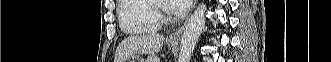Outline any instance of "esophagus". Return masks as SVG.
<instances>
[{
  "instance_id": "obj_1",
  "label": "esophagus",
  "mask_w": 331,
  "mask_h": 62,
  "mask_svg": "<svg viewBox=\"0 0 331 62\" xmlns=\"http://www.w3.org/2000/svg\"><path fill=\"white\" fill-rule=\"evenodd\" d=\"M196 3H197V0H193L192 8L195 7ZM186 22H187V20L175 32H173L172 34H170L167 37V40L169 42H177L179 40V38H180L184 28H185Z\"/></svg>"
}]
</instances>
